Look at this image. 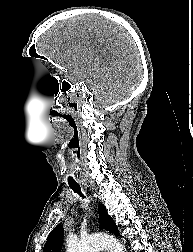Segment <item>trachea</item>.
<instances>
[{"mask_svg": "<svg viewBox=\"0 0 193 252\" xmlns=\"http://www.w3.org/2000/svg\"><path fill=\"white\" fill-rule=\"evenodd\" d=\"M70 188L77 194H79L80 196L84 197L83 194L81 193V187L79 184H73V183H69Z\"/></svg>", "mask_w": 193, "mask_h": 252, "instance_id": "3493384b", "label": "trachea"}]
</instances>
